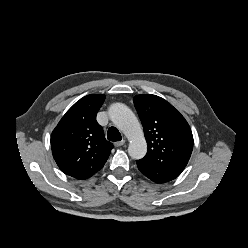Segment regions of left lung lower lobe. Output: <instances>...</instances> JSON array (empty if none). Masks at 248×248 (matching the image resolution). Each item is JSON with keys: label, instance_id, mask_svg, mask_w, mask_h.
<instances>
[{"label": "left lung lower lobe", "instance_id": "obj_1", "mask_svg": "<svg viewBox=\"0 0 248 248\" xmlns=\"http://www.w3.org/2000/svg\"><path fill=\"white\" fill-rule=\"evenodd\" d=\"M136 162L139 171L156 183H165L179 176L178 173L154 167L142 160H137Z\"/></svg>", "mask_w": 248, "mask_h": 248}]
</instances>
